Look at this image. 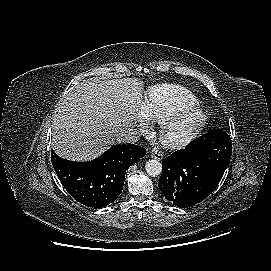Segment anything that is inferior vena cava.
Here are the masks:
<instances>
[{"label": "inferior vena cava", "mask_w": 271, "mask_h": 271, "mask_svg": "<svg viewBox=\"0 0 271 271\" xmlns=\"http://www.w3.org/2000/svg\"><path fill=\"white\" fill-rule=\"evenodd\" d=\"M140 133L137 129L129 128L121 132L117 139V143L134 144L140 139Z\"/></svg>", "instance_id": "602c4592"}]
</instances>
